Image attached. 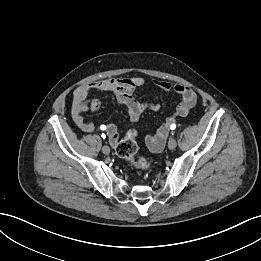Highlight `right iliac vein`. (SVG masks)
<instances>
[{"instance_id":"obj_1","label":"right iliac vein","mask_w":261,"mask_h":261,"mask_svg":"<svg viewBox=\"0 0 261 261\" xmlns=\"http://www.w3.org/2000/svg\"><path fill=\"white\" fill-rule=\"evenodd\" d=\"M102 152L106 155H108L110 153V148L108 146H103L102 147Z\"/></svg>"}]
</instances>
